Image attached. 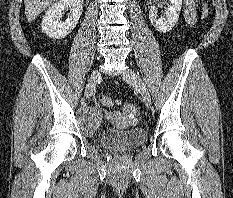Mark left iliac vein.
Returning <instances> with one entry per match:
<instances>
[{
    "instance_id": "obj_1",
    "label": "left iliac vein",
    "mask_w": 233,
    "mask_h": 198,
    "mask_svg": "<svg viewBox=\"0 0 233 198\" xmlns=\"http://www.w3.org/2000/svg\"><path fill=\"white\" fill-rule=\"evenodd\" d=\"M123 78L126 82L130 83L140 92V95L146 105L147 108L151 107V97L149 91L140 78L138 74H136L132 69H126L123 73Z\"/></svg>"
}]
</instances>
